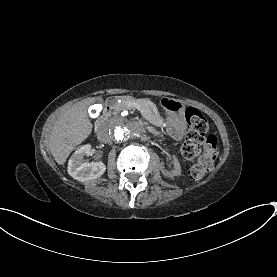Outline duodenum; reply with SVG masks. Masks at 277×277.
<instances>
[{
  "label": "duodenum",
  "mask_w": 277,
  "mask_h": 277,
  "mask_svg": "<svg viewBox=\"0 0 277 277\" xmlns=\"http://www.w3.org/2000/svg\"><path fill=\"white\" fill-rule=\"evenodd\" d=\"M121 98L122 97H120V96H111L106 100L102 115H101L100 119L98 120V122L96 124V131L97 132L102 128L104 120L109 116L112 109L114 108V106L116 105L118 100L121 99Z\"/></svg>",
  "instance_id": "410a0bca"
}]
</instances>
